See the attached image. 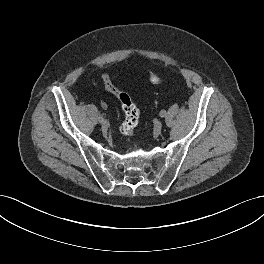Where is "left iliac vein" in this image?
<instances>
[{"label": "left iliac vein", "instance_id": "4c4485c4", "mask_svg": "<svg viewBox=\"0 0 264 264\" xmlns=\"http://www.w3.org/2000/svg\"><path fill=\"white\" fill-rule=\"evenodd\" d=\"M153 129L156 134H159L162 130V122L160 121L155 122Z\"/></svg>", "mask_w": 264, "mask_h": 264}]
</instances>
